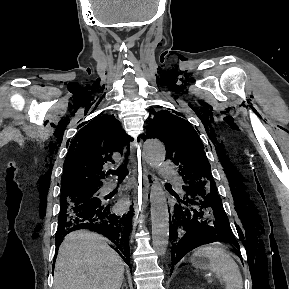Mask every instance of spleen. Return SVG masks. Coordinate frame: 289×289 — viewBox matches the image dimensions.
Returning a JSON list of instances; mask_svg holds the SVG:
<instances>
[{
    "mask_svg": "<svg viewBox=\"0 0 289 289\" xmlns=\"http://www.w3.org/2000/svg\"><path fill=\"white\" fill-rule=\"evenodd\" d=\"M207 258L208 263L200 265L196 258ZM192 264L196 268L208 269L220 279L225 289H243L242 275L235 260L220 243L204 244L195 249Z\"/></svg>",
    "mask_w": 289,
    "mask_h": 289,
    "instance_id": "obj_1",
    "label": "spleen"
}]
</instances>
